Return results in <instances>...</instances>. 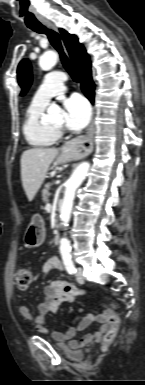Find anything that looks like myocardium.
<instances>
[{
  "mask_svg": "<svg viewBox=\"0 0 145 385\" xmlns=\"http://www.w3.org/2000/svg\"><path fill=\"white\" fill-rule=\"evenodd\" d=\"M53 128L57 131V132H60L62 130L61 126L57 127V126H53Z\"/></svg>",
  "mask_w": 145,
  "mask_h": 385,
  "instance_id": "1",
  "label": "myocardium"
}]
</instances>
